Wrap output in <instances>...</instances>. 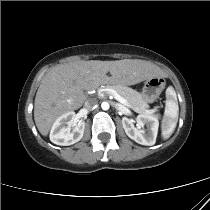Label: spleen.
Masks as SVG:
<instances>
[{
  "label": "spleen",
  "mask_w": 210,
  "mask_h": 210,
  "mask_svg": "<svg viewBox=\"0 0 210 210\" xmlns=\"http://www.w3.org/2000/svg\"><path fill=\"white\" fill-rule=\"evenodd\" d=\"M179 106L177 95L173 87H168L166 90V105L162 119V137L168 139L174 132L178 121Z\"/></svg>",
  "instance_id": "1"
}]
</instances>
